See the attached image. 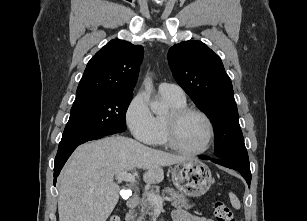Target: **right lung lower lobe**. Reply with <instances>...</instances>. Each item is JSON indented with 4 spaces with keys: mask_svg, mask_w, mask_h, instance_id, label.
Wrapping results in <instances>:
<instances>
[{
    "mask_svg": "<svg viewBox=\"0 0 307 221\" xmlns=\"http://www.w3.org/2000/svg\"><path fill=\"white\" fill-rule=\"evenodd\" d=\"M103 137V136H102ZM101 137H96V138H90L87 140H83L79 143L73 144L71 146H68L66 148L60 149L57 152V155L55 157V165H54V185L56 184V178L58 177L60 170L62 169V167L64 166L65 162L67 161V159L69 158V156L72 154V152L76 149V147L80 144H83L87 141L90 140H96L99 139Z\"/></svg>",
    "mask_w": 307,
    "mask_h": 221,
    "instance_id": "98d812e1",
    "label": "right lung lower lobe"
}]
</instances>
